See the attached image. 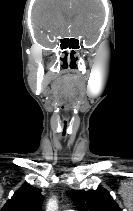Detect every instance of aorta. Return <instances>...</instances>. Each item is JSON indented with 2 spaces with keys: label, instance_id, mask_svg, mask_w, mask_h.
Instances as JSON below:
<instances>
[{
  "label": "aorta",
  "instance_id": "obj_1",
  "mask_svg": "<svg viewBox=\"0 0 133 211\" xmlns=\"http://www.w3.org/2000/svg\"><path fill=\"white\" fill-rule=\"evenodd\" d=\"M58 205L56 199H51L47 203V210L46 211H57Z\"/></svg>",
  "mask_w": 133,
  "mask_h": 211
}]
</instances>
